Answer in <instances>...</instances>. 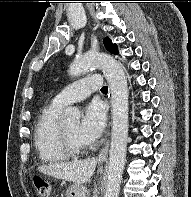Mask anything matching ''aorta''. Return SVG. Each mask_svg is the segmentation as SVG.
<instances>
[{"label": "aorta", "mask_w": 191, "mask_h": 197, "mask_svg": "<svg viewBox=\"0 0 191 197\" xmlns=\"http://www.w3.org/2000/svg\"><path fill=\"white\" fill-rule=\"evenodd\" d=\"M91 68H101L111 92L112 132L109 152L108 179L104 197H118L128 138V86L124 69L120 63L107 54H85L70 65L71 77L80 76ZM62 123L75 125L80 122V111L69 107L65 110Z\"/></svg>", "instance_id": "aorta-1"}]
</instances>
